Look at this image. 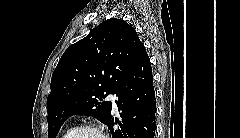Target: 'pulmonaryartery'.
Masks as SVG:
<instances>
[{
  "instance_id": "pulmonary-artery-1",
  "label": "pulmonary artery",
  "mask_w": 240,
  "mask_h": 138,
  "mask_svg": "<svg viewBox=\"0 0 240 138\" xmlns=\"http://www.w3.org/2000/svg\"><path fill=\"white\" fill-rule=\"evenodd\" d=\"M108 100L112 102V107L114 111H117V105H116V96L114 94H111L108 96Z\"/></svg>"
}]
</instances>
